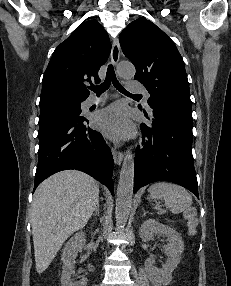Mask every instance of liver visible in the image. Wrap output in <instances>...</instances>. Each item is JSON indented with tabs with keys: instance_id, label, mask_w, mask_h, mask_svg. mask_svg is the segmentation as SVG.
<instances>
[{
	"instance_id": "1",
	"label": "liver",
	"mask_w": 231,
	"mask_h": 286,
	"mask_svg": "<svg viewBox=\"0 0 231 286\" xmlns=\"http://www.w3.org/2000/svg\"><path fill=\"white\" fill-rule=\"evenodd\" d=\"M98 197L97 181L76 170L58 172L38 186L31 208L37 273L49 267L72 233L85 227Z\"/></svg>"
}]
</instances>
